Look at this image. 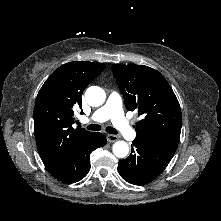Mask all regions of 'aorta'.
I'll return each instance as SVG.
<instances>
[{"instance_id": "1", "label": "aorta", "mask_w": 221, "mask_h": 221, "mask_svg": "<svg viewBox=\"0 0 221 221\" xmlns=\"http://www.w3.org/2000/svg\"><path fill=\"white\" fill-rule=\"evenodd\" d=\"M85 99L90 106H101L105 99L106 94L104 90L98 86H91L85 92ZM129 147L124 141H117L113 145V153L118 158H124L128 155Z\"/></svg>"}]
</instances>
